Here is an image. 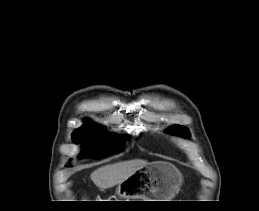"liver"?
<instances>
[{
    "label": "liver",
    "instance_id": "obj_1",
    "mask_svg": "<svg viewBox=\"0 0 259 211\" xmlns=\"http://www.w3.org/2000/svg\"><path fill=\"white\" fill-rule=\"evenodd\" d=\"M148 164L146 160L142 159L109 164L94 170L90 178L98 188L107 189L122 183L137 169L147 166Z\"/></svg>",
    "mask_w": 259,
    "mask_h": 211
}]
</instances>
